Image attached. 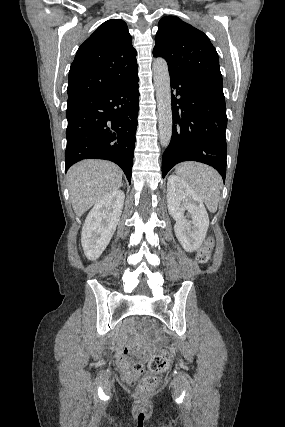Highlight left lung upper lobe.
<instances>
[{
	"label": "left lung upper lobe",
	"mask_w": 285,
	"mask_h": 427,
	"mask_svg": "<svg viewBox=\"0 0 285 427\" xmlns=\"http://www.w3.org/2000/svg\"><path fill=\"white\" fill-rule=\"evenodd\" d=\"M158 27L153 56L168 62L170 75L223 87L218 54L202 31L175 16L163 17Z\"/></svg>",
	"instance_id": "5c2ea615"
}]
</instances>
